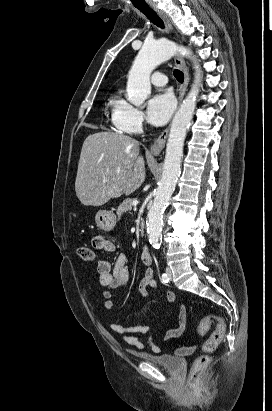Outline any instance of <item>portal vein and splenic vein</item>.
<instances>
[{"label": "portal vein and splenic vein", "instance_id": "1", "mask_svg": "<svg viewBox=\"0 0 272 411\" xmlns=\"http://www.w3.org/2000/svg\"><path fill=\"white\" fill-rule=\"evenodd\" d=\"M106 181H107L106 179L103 180V182H106ZM137 204H138V201H137V200H133L132 205H133L134 208L137 207Z\"/></svg>", "mask_w": 272, "mask_h": 411}]
</instances>
